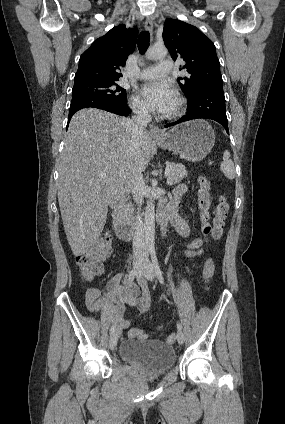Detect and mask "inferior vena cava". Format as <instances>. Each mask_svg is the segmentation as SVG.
Wrapping results in <instances>:
<instances>
[{
    "label": "inferior vena cava",
    "mask_w": 285,
    "mask_h": 424,
    "mask_svg": "<svg viewBox=\"0 0 285 424\" xmlns=\"http://www.w3.org/2000/svg\"><path fill=\"white\" fill-rule=\"evenodd\" d=\"M134 115L129 120V127L131 130V144L132 151L139 145V141L147 124L151 121V116L148 113V110L141 105L133 106ZM144 179L142 172L140 170L134 171L131 178V193L134 201L138 205L137 214L134 221V236H133V257L135 260L147 261L148 257L146 254V244H145V236L143 230V224L141 222V205L143 202V190H144Z\"/></svg>",
    "instance_id": "inferior-vena-cava-1"
}]
</instances>
